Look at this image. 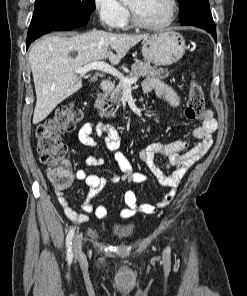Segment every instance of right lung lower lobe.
I'll return each instance as SVG.
<instances>
[{"label":"right lung lower lobe","mask_w":247,"mask_h":296,"mask_svg":"<svg viewBox=\"0 0 247 296\" xmlns=\"http://www.w3.org/2000/svg\"><path fill=\"white\" fill-rule=\"evenodd\" d=\"M89 17L90 14L81 18L74 19L66 16H61L57 13H52L45 18L33 21L31 22L28 30L26 46L28 48L31 42L51 31L70 30L74 27L83 26L87 23Z\"/></svg>","instance_id":"98d812e1"}]
</instances>
